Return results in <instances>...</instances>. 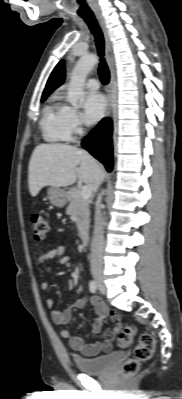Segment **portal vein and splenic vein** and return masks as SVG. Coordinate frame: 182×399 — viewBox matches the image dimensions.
I'll use <instances>...</instances> for the list:
<instances>
[{
  "label": "portal vein and splenic vein",
  "instance_id": "18ae733b",
  "mask_svg": "<svg viewBox=\"0 0 182 399\" xmlns=\"http://www.w3.org/2000/svg\"><path fill=\"white\" fill-rule=\"evenodd\" d=\"M80 194H81V197L84 200H88L91 197V195H92V191H91V189L89 187L83 186L81 188Z\"/></svg>",
  "mask_w": 182,
  "mask_h": 399
}]
</instances>
